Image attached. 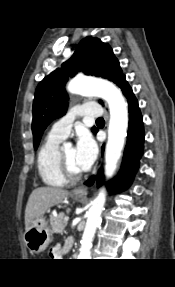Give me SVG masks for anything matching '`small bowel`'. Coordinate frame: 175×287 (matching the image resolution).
Masks as SVG:
<instances>
[{
    "mask_svg": "<svg viewBox=\"0 0 175 287\" xmlns=\"http://www.w3.org/2000/svg\"><path fill=\"white\" fill-rule=\"evenodd\" d=\"M71 243H72V240L68 239L64 247H61L60 245H55L51 249V254L55 257H62L64 253L70 248Z\"/></svg>",
    "mask_w": 175,
    "mask_h": 287,
    "instance_id": "obj_1",
    "label": "small bowel"
}]
</instances>
